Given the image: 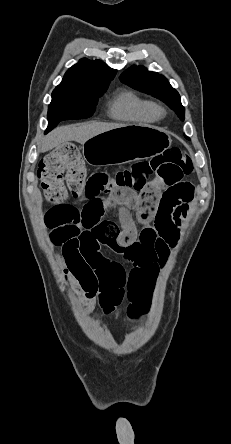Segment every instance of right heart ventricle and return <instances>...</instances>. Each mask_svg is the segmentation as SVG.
I'll return each instance as SVG.
<instances>
[{"instance_id":"1","label":"right heart ventricle","mask_w":231,"mask_h":444,"mask_svg":"<svg viewBox=\"0 0 231 444\" xmlns=\"http://www.w3.org/2000/svg\"><path fill=\"white\" fill-rule=\"evenodd\" d=\"M109 113L120 121L152 123L159 118L156 104L132 90L117 94L110 103Z\"/></svg>"}]
</instances>
